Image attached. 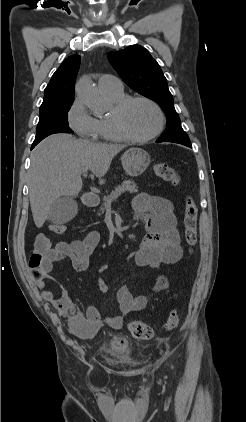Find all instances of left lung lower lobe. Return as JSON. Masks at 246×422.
<instances>
[{"label":"left lung lower lobe","instance_id":"obj_1","mask_svg":"<svg viewBox=\"0 0 246 422\" xmlns=\"http://www.w3.org/2000/svg\"><path fill=\"white\" fill-rule=\"evenodd\" d=\"M185 146H188V147H192L191 146V143H188V144H184Z\"/></svg>","mask_w":246,"mask_h":422}]
</instances>
